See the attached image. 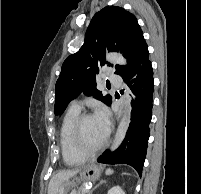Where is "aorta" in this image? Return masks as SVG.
<instances>
[{
    "label": "aorta",
    "mask_w": 201,
    "mask_h": 194,
    "mask_svg": "<svg viewBox=\"0 0 201 194\" xmlns=\"http://www.w3.org/2000/svg\"><path fill=\"white\" fill-rule=\"evenodd\" d=\"M106 59L113 64L126 65L127 63L126 59L119 53H110L106 56ZM130 112H131V108L129 106L126 107L122 115V118L120 120V123L118 125L113 143L110 147L111 151H114L115 149H117L126 136V132L128 130L129 123H130Z\"/></svg>",
    "instance_id": "aorta-1"
}]
</instances>
